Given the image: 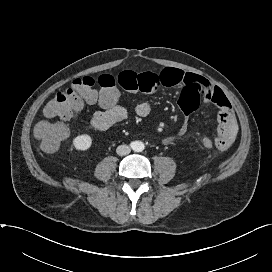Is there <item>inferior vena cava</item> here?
Wrapping results in <instances>:
<instances>
[{
	"instance_id": "inferior-vena-cava-1",
	"label": "inferior vena cava",
	"mask_w": 272,
	"mask_h": 272,
	"mask_svg": "<svg viewBox=\"0 0 272 272\" xmlns=\"http://www.w3.org/2000/svg\"><path fill=\"white\" fill-rule=\"evenodd\" d=\"M117 154L120 156H125L131 152V149L127 145H120L117 147Z\"/></svg>"
}]
</instances>
